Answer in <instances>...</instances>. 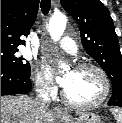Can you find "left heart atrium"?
I'll return each mask as SVG.
<instances>
[{
    "label": "left heart atrium",
    "mask_w": 122,
    "mask_h": 123,
    "mask_svg": "<svg viewBox=\"0 0 122 123\" xmlns=\"http://www.w3.org/2000/svg\"><path fill=\"white\" fill-rule=\"evenodd\" d=\"M43 68L45 70V72L47 73V75L54 79L60 86L65 87L67 82H68V78L67 76H57L54 72L53 67L51 66V64L49 62H45L43 64Z\"/></svg>",
    "instance_id": "39dd6f15"
}]
</instances>
